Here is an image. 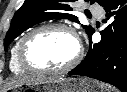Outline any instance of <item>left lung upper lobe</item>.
Masks as SVG:
<instances>
[{
	"instance_id": "5c2ea615",
	"label": "left lung upper lobe",
	"mask_w": 127,
	"mask_h": 92,
	"mask_svg": "<svg viewBox=\"0 0 127 92\" xmlns=\"http://www.w3.org/2000/svg\"><path fill=\"white\" fill-rule=\"evenodd\" d=\"M74 0H25L24 4L15 13L9 31L5 37L4 49L26 29L40 22L51 19H69L79 22L72 14L74 11L71 2ZM89 1V0H85ZM114 0H91L105 7ZM86 33L90 35L94 29L91 26L82 25Z\"/></svg>"
}]
</instances>
